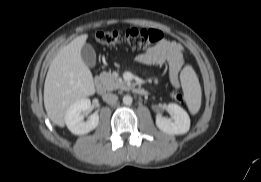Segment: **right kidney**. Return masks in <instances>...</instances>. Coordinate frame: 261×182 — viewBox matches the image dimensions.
<instances>
[{"label":"right kidney","instance_id":"obj_1","mask_svg":"<svg viewBox=\"0 0 261 182\" xmlns=\"http://www.w3.org/2000/svg\"><path fill=\"white\" fill-rule=\"evenodd\" d=\"M91 106L88 98H83L73 103L65 113V124L75 135H84L94 130L99 124L98 113H93L87 121H83V112Z\"/></svg>","mask_w":261,"mask_h":182}]
</instances>
